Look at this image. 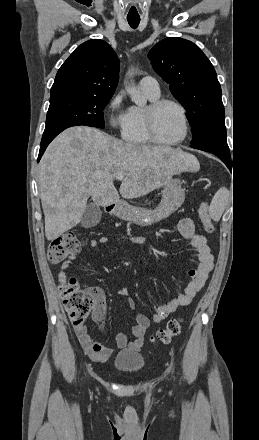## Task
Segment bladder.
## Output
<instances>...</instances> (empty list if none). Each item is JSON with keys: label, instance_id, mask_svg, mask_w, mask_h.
<instances>
[{"label": "bladder", "instance_id": "1", "mask_svg": "<svg viewBox=\"0 0 259 440\" xmlns=\"http://www.w3.org/2000/svg\"><path fill=\"white\" fill-rule=\"evenodd\" d=\"M144 357L141 353L132 350H122L114 358L113 366L120 372H137L144 366Z\"/></svg>", "mask_w": 259, "mask_h": 440}]
</instances>
